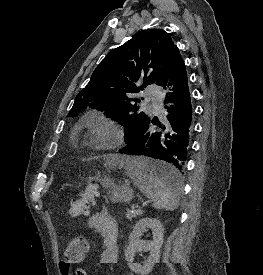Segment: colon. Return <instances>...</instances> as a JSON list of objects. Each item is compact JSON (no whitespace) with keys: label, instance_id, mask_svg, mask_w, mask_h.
<instances>
[{"label":"colon","instance_id":"1","mask_svg":"<svg viewBox=\"0 0 263 275\" xmlns=\"http://www.w3.org/2000/svg\"><path fill=\"white\" fill-rule=\"evenodd\" d=\"M98 193V185L91 182L82 192L80 197L73 200L69 207L71 216L77 217L86 214L91 207L95 196ZM88 254V243L82 237L74 238L69 242L64 253V259L61 261L62 268L70 269L71 265L81 263ZM76 275H87L82 269L76 271Z\"/></svg>","mask_w":263,"mask_h":275}]
</instances>
